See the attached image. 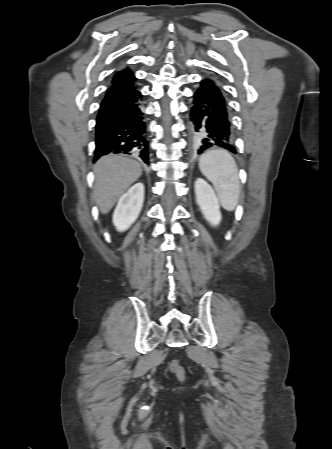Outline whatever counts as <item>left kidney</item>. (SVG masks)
<instances>
[{"instance_id": "1", "label": "left kidney", "mask_w": 332, "mask_h": 449, "mask_svg": "<svg viewBox=\"0 0 332 449\" xmlns=\"http://www.w3.org/2000/svg\"><path fill=\"white\" fill-rule=\"evenodd\" d=\"M196 202L204 218L212 225L217 226L221 221L219 200L212 187L201 178L194 184Z\"/></svg>"}]
</instances>
